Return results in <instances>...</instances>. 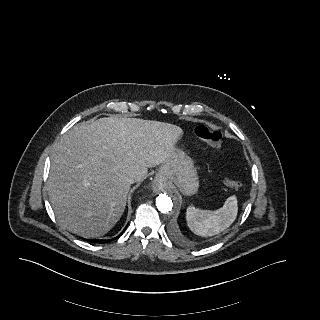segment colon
I'll use <instances>...</instances> for the list:
<instances>
[{
	"mask_svg": "<svg viewBox=\"0 0 320 320\" xmlns=\"http://www.w3.org/2000/svg\"><path fill=\"white\" fill-rule=\"evenodd\" d=\"M195 133L212 148L219 150L222 147V134L220 131L211 129L206 125H199L195 128ZM224 184L229 188H239L241 186L239 181L230 178H226Z\"/></svg>",
	"mask_w": 320,
	"mask_h": 320,
	"instance_id": "obj_1",
	"label": "colon"
}]
</instances>
